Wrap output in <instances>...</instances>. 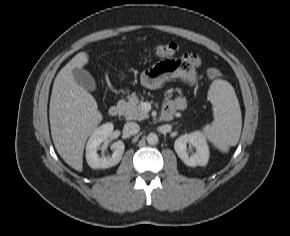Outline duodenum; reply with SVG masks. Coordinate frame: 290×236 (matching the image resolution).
Masks as SVG:
<instances>
[{"mask_svg":"<svg viewBox=\"0 0 290 236\" xmlns=\"http://www.w3.org/2000/svg\"><path fill=\"white\" fill-rule=\"evenodd\" d=\"M123 108L121 105L115 104L109 108V115L111 117H118L122 114ZM174 115L173 110L162 111V118L164 120H170Z\"/></svg>","mask_w":290,"mask_h":236,"instance_id":"duodenum-1","label":"duodenum"}]
</instances>
